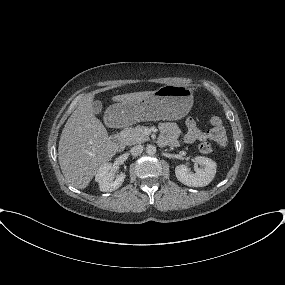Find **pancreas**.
I'll list each match as a JSON object with an SVG mask.
<instances>
[{
  "mask_svg": "<svg viewBox=\"0 0 285 285\" xmlns=\"http://www.w3.org/2000/svg\"><path fill=\"white\" fill-rule=\"evenodd\" d=\"M146 127L137 125L136 127L125 128L121 131V139L125 145L144 143L149 140V136L144 133Z\"/></svg>",
  "mask_w": 285,
  "mask_h": 285,
  "instance_id": "1",
  "label": "pancreas"
}]
</instances>
